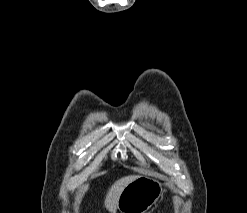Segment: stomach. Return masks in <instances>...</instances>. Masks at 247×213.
<instances>
[{"label":"stomach","mask_w":247,"mask_h":213,"mask_svg":"<svg viewBox=\"0 0 247 213\" xmlns=\"http://www.w3.org/2000/svg\"><path fill=\"white\" fill-rule=\"evenodd\" d=\"M163 194L162 184L151 177L139 176L119 196L120 213H146Z\"/></svg>","instance_id":"stomach-1"}]
</instances>
